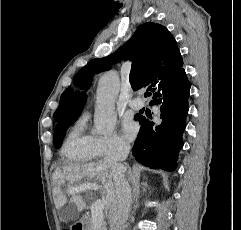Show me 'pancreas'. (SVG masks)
<instances>
[{"label": "pancreas", "instance_id": "1", "mask_svg": "<svg viewBox=\"0 0 241 230\" xmlns=\"http://www.w3.org/2000/svg\"><path fill=\"white\" fill-rule=\"evenodd\" d=\"M87 222L90 226V230H102V226L104 225V221H102L100 224L96 225L93 223L92 216L87 218Z\"/></svg>", "mask_w": 241, "mask_h": 230}]
</instances>
